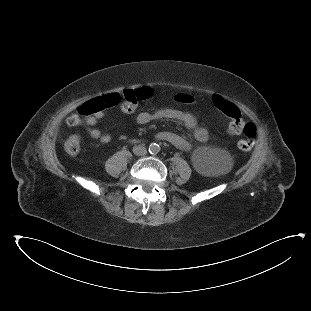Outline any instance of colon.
Masks as SVG:
<instances>
[{
  "label": "colon",
  "instance_id": "obj_1",
  "mask_svg": "<svg viewBox=\"0 0 311 311\" xmlns=\"http://www.w3.org/2000/svg\"><path fill=\"white\" fill-rule=\"evenodd\" d=\"M152 92L153 88L151 86H143L131 91L123 89L119 93H103L97 99L91 98L78 110L73 111L69 116L70 124L75 127L84 126L101 110L107 111L110 108L118 109L122 106L124 111L128 113L134 112L139 103L150 99ZM175 101L179 103H189L192 101V97L188 94H178L175 96ZM212 102L232 119L228 127L229 134L235 135L240 132L244 133L243 137L238 141V147L244 151L252 149L257 139L255 131L257 128L256 123L250 120L246 128H240L246 116L240 112L230 100L217 94L213 97ZM81 146L82 137L80 134H72L63 142L65 152L71 157L77 156L81 150Z\"/></svg>",
  "mask_w": 311,
  "mask_h": 311
}]
</instances>
